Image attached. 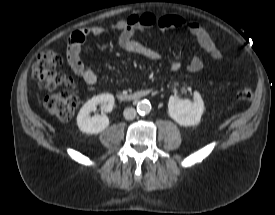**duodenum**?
Segmentation results:
<instances>
[{
  "label": "duodenum",
  "mask_w": 275,
  "mask_h": 215,
  "mask_svg": "<svg viewBox=\"0 0 275 215\" xmlns=\"http://www.w3.org/2000/svg\"><path fill=\"white\" fill-rule=\"evenodd\" d=\"M151 94V90H139L132 93H118L117 98L122 102H133L144 99Z\"/></svg>",
  "instance_id": "obj_1"
}]
</instances>
